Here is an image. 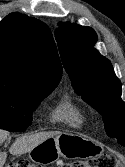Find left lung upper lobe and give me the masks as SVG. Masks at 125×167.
<instances>
[{"mask_svg": "<svg viewBox=\"0 0 125 167\" xmlns=\"http://www.w3.org/2000/svg\"><path fill=\"white\" fill-rule=\"evenodd\" d=\"M55 39L75 92L103 116L106 133L125 146V102L121 82L108 59L93 46L97 35L90 27L61 23Z\"/></svg>", "mask_w": 125, "mask_h": 167, "instance_id": "obj_1", "label": "left lung upper lobe"}]
</instances>
